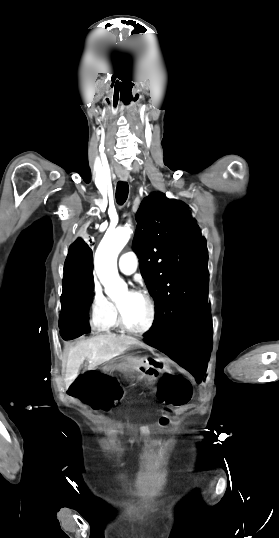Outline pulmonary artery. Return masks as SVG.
<instances>
[{"label":"pulmonary artery","mask_w":279,"mask_h":538,"mask_svg":"<svg viewBox=\"0 0 279 538\" xmlns=\"http://www.w3.org/2000/svg\"><path fill=\"white\" fill-rule=\"evenodd\" d=\"M118 267L125 275H130L136 271V262L131 253H123L118 259Z\"/></svg>","instance_id":"obj_1"}]
</instances>
